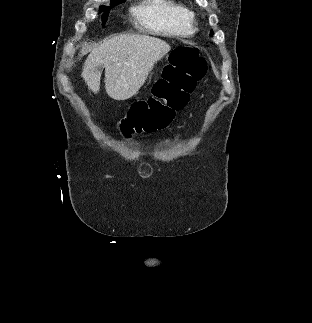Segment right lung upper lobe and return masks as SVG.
I'll list each match as a JSON object with an SVG mask.
<instances>
[{"mask_svg":"<svg viewBox=\"0 0 312 323\" xmlns=\"http://www.w3.org/2000/svg\"><path fill=\"white\" fill-rule=\"evenodd\" d=\"M124 0H111V4H120L122 3Z\"/></svg>","mask_w":312,"mask_h":323,"instance_id":"right-lung-upper-lobe-1","label":"right lung upper lobe"}]
</instances>
